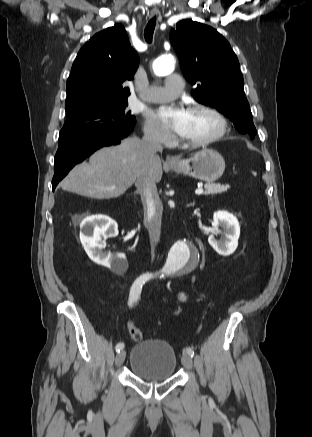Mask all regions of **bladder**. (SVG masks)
Instances as JSON below:
<instances>
[{
  "label": "bladder",
  "instance_id": "bladder-1",
  "mask_svg": "<svg viewBox=\"0 0 312 437\" xmlns=\"http://www.w3.org/2000/svg\"><path fill=\"white\" fill-rule=\"evenodd\" d=\"M177 357L172 346L160 339L143 340L130 352L131 372L149 382H161L174 375Z\"/></svg>",
  "mask_w": 312,
  "mask_h": 437
}]
</instances>
